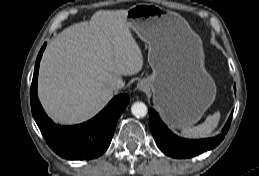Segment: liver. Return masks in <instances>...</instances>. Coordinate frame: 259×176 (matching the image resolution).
I'll list each match as a JSON object with an SVG mask.
<instances>
[{
	"instance_id": "obj_1",
	"label": "liver",
	"mask_w": 259,
	"mask_h": 176,
	"mask_svg": "<svg viewBox=\"0 0 259 176\" xmlns=\"http://www.w3.org/2000/svg\"><path fill=\"white\" fill-rule=\"evenodd\" d=\"M127 11H97L48 45L40 62L38 97L55 122L92 118L112 99L114 79L141 71L143 56L126 22Z\"/></svg>"
}]
</instances>
